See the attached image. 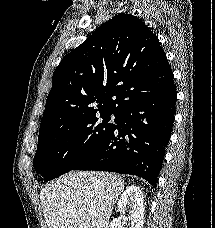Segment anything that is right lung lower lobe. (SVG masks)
<instances>
[{
	"label": "right lung lower lobe",
	"mask_w": 215,
	"mask_h": 228,
	"mask_svg": "<svg viewBox=\"0 0 215 228\" xmlns=\"http://www.w3.org/2000/svg\"><path fill=\"white\" fill-rule=\"evenodd\" d=\"M116 113L111 133L72 170H102L144 178L156 189L175 120L173 76Z\"/></svg>",
	"instance_id": "1"
}]
</instances>
